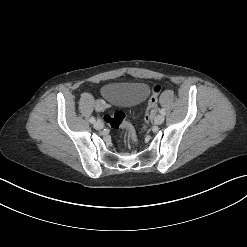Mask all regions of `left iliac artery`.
Listing matches in <instances>:
<instances>
[{"instance_id": "obj_1", "label": "left iliac artery", "mask_w": 247, "mask_h": 247, "mask_svg": "<svg viewBox=\"0 0 247 247\" xmlns=\"http://www.w3.org/2000/svg\"><path fill=\"white\" fill-rule=\"evenodd\" d=\"M160 113H161L162 115H165V110H164V109H160Z\"/></svg>"}]
</instances>
